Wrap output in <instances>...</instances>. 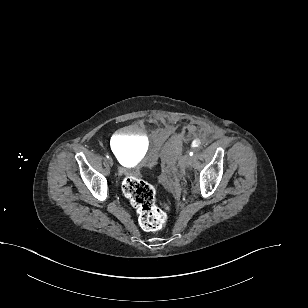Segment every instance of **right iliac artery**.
Segmentation results:
<instances>
[{
	"label": "right iliac artery",
	"instance_id": "82829eb1",
	"mask_svg": "<svg viewBox=\"0 0 308 308\" xmlns=\"http://www.w3.org/2000/svg\"><path fill=\"white\" fill-rule=\"evenodd\" d=\"M106 157H107V158H109V155H108V154H106Z\"/></svg>",
	"mask_w": 308,
	"mask_h": 308
}]
</instances>
